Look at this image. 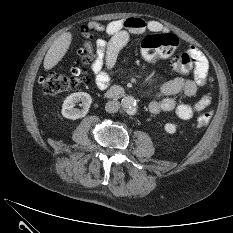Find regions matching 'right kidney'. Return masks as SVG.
Returning a JSON list of instances; mask_svg holds the SVG:
<instances>
[{
    "mask_svg": "<svg viewBox=\"0 0 233 233\" xmlns=\"http://www.w3.org/2000/svg\"><path fill=\"white\" fill-rule=\"evenodd\" d=\"M82 101V109L74 108L75 104ZM92 103L91 96L85 92H76L67 96L62 105V115L67 119L76 120L85 117Z\"/></svg>",
    "mask_w": 233,
    "mask_h": 233,
    "instance_id": "1",
    "label": "right kidney"
}]
</instances>
